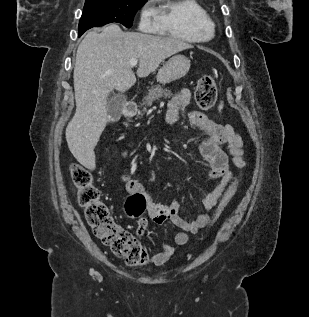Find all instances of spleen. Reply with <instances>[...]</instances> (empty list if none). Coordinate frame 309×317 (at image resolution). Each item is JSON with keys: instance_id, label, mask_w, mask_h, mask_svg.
<instances>
[{"instance_id": "1", "label": "spleen", "mask_w": 309, "mask_h": 317, "mask_svg": "<svg viewBox=\"0 0 309 317\" xmlns=\"http://www.w3.org/2000/svg\"><path fill=\"white\" fill-rule=\"evenodd\" d=\"M219 111H221L223 109V103L221 102V104L218 107Z\"/></svg>"}]
</instances>
